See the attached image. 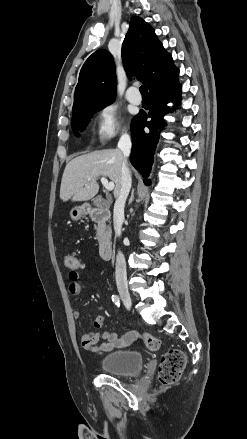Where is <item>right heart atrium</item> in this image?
Segmentation results:
<instances>
[{
  "label": "right heart atrium",
  "mask_w": 247,
  "mask_h": 439,
  "mask_svg": "<svg viewBox=\"0 0 247 439\" xmlns=\"http://www.w3.org/2000/svg\"><path fill=\"white\" fill-rule=\"evenodd\" d=\"M95 123L97 140L102 145L107 144L117 135L126 134L119 110L114 104L102 106L96 112Z\"/></svg>",
  "instance_id": "right-heart-atrium-1"
}]
</instances>
